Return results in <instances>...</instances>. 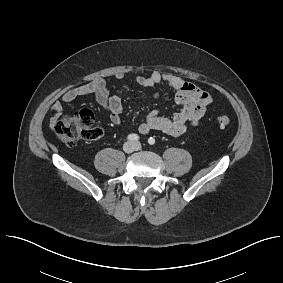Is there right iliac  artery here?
Returning <instances> with one entry per match:
<instances>
[{
	"label": "right iliac artery",
	"instance_id": "82829eb1",
	"mask_svg": "<svg viewBox=\"0 0 283 283\" xmlns=\"http://www.w3.org/2000/svg\"><path fill=\"white\" fill-rule=\"evenodd\" d=\"M127 139L130 141H137L139 139V136L137 134H130L128 135Z\"/></svg>",
	"mask_w": 283,
	"mask_h": 283
}]
</instances>
